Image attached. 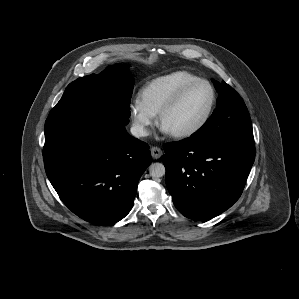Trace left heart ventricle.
I'll return each mask as SVG.
<instances>
[{
    "label": "left heart ventricle",
    "instance_id": "left-heart-ventricle-1",
    "mask_svg": "<svg viewBox=\"0 0 299 299\" xmlns=\"http://www.w3.org/2000/svg\"><path fill=\"white\" fill-rule=\"evenodd\" d=\"M211 99L209 88L200 84L191 88L164 117L162 127L176 133L195 126L207 111Z\"/></svg>",
    "mask_w": 299,
    "mask_h": 299
}]
</instances>
